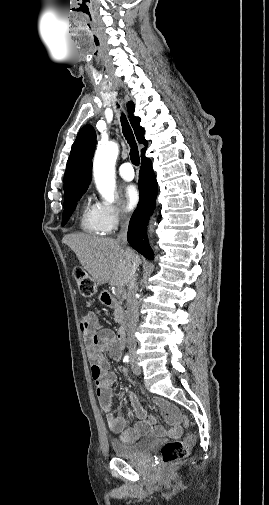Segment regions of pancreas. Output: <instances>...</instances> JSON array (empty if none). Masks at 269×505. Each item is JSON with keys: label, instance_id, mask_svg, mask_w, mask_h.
Wrapping results in <instances>:
<instances>
[{"label": "pancreas", "instance_id": "pancreas-1", "mask_svg": "<svg viewBox=\"0 0 269 505\" xmlns=\"http://www.w3.org/2000/svg\"><path fill=\"white\" fill-rule=\"evenodd\" d=\"M122 298H125V295H122ZM114 320L116 323L124 324L126 320V314L124 312V307L119 305L114 310Z\"/></svg>", "mask_w": 269, "mask_h": 505}]
</instances>
